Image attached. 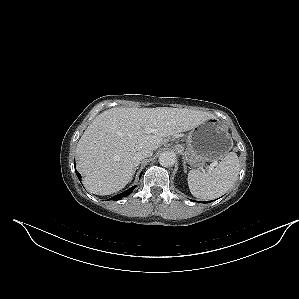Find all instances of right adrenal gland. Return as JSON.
<instances>
[{"mask_svg":"<svg viewBox=\"0 0 299 299\" xmlns=\"http://www.w3.org/2000/svg\"><path fill=\"white\" fill-rule=\"evenodd\" d=\"M136 169H138V167H136V168L134 169V171H136Z\"/></svg>","mask_w":299,"mask_h":299,"instance_id":"1","label":"right adrenal gland"}]
</instances>
